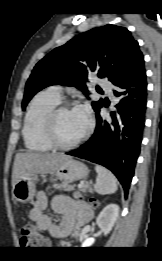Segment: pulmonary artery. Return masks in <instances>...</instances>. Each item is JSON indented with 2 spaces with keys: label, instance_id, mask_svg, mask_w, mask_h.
<instances>
[{
  "label": "pulmonary artery",
  "instance_id": "pulmonary-artery-1",
  "mask_svg": "<svg viewBox=\"0 0 162 261\" xmlns=\"http://www.w3.org/2000/svg\"><path fill=\"white\" fill-rule=\"evenodd\" d=\"M99 86L102 90H104L107 94L111 95L112 93V85L111 83L106 79H100L99 80ZM49 90L54 93L57 96H61L62 89L59 85H55L49 88Z\"/></svg>",
  "mask_w": 162,
  "mask_h": 261
}]
</instances>
